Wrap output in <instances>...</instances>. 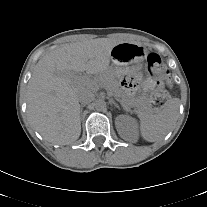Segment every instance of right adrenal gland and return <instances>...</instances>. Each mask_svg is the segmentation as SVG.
I'll return each mask as SVG.
<instances>
[{
    "mask_svg": "<svg viewBox=\"0 0 207 207\" xmlns=\"http://www.w3.org/2000/svg\"><path fill=\"white\" fill-rule=\"evenodd\" d=\"M83 107H85V104H82V105L80 106V113H82V111H83Z\"/></svg>",
    "mask_w": 207,
    "mask_h": 207,
    "instance_id": "right-adrenal-gland-1",
    "label": "right adrenal gland"
}]
</instances>
